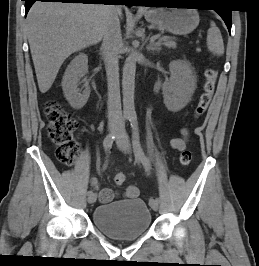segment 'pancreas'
I'll return each mask as SVG.
<instances>
[{"instance_id":"obj_1","label":"pancreas","mask_w":259,"mask_h":266,"mask_svg":"<svg viewBox=\"0 0 259 266\" xmlns=\"http://www.w3.org/2000/svg\"><path fill=\"white\" fill-rule=\"evenodd\" d=\"M160 41H162V44L168 48H175L176 47V43L170 39H164L162 37V38H160Z\"/></svg>"}]
</instances>
